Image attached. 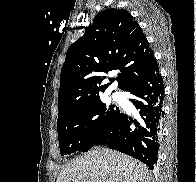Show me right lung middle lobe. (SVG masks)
<instances>
[{"mask_svg": "<svg viewBox=\"0 0 196 182\" xmlns=\"http://www.w3.org/2000/svg\"><path fill=\"white\" fill-rule=\"evenodd\" d=\"M119 113L115 105L107 106L96 97L59 114L57 130L61 155L88 151ZM87 125L90 128L86 131L84 126Z\"/></svg>", "mask_w": 196, "mask_h": 182, "instance_id": "right-lung-middle-lobe-1", "label": "right lung middle lobe"}]
</instances>
